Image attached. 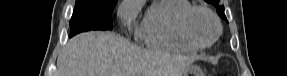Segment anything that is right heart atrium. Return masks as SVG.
<instances>
[{
    "label": "right heart atrium",
    "instance_id": "obj_1",
    "mask_svg": "<svg viewBox=\"0 0 287 76\" xmlns=\"http://www.w3.org/2000/svg\"><path fill=\"white\" fill-rule=\"evenodd\" d=\"M140 1L126 0L119 8V16L125 24L131 23L140 11Z\"/></svg>",
    "mask_w": 287,
    "mask_h": 76
}]
</instances>
